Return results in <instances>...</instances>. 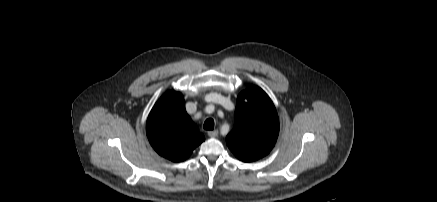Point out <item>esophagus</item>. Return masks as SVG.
<instances>
[{"instance_id":"esophagus-1","label":"esophagus","mask_w":437,"mask_h":202,"mask_svg":"<svg viewBox=\"0 0 437 202\" xmlns=\"http://www.w3.org/2000/svg\"><path fill=\"white\" fill-rule=\"evenodd\" d=\"M208 136L209 137H217L218 136V131L217 130L209 131L208 132Z\"/></svg>"}]
</instances>
